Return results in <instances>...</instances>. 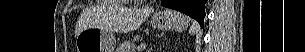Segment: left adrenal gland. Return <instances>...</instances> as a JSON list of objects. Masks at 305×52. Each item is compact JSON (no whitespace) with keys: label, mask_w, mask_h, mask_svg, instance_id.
<instances>
[{"label":"left adrenal gland","mask_w":305,"mask_h":52,"mask_svg":"<svg viewBox=\"0 0 305 52\" xmlns=\"http://www.w3.org/2000/svg\"><path fill=\"white\" fill-rule=\"evenodd\" d=\"M152 51V47H150V49H149V52H151Z\"/></svg>","instance_id":"left-adrenal-gland-1"}]
</instances>
